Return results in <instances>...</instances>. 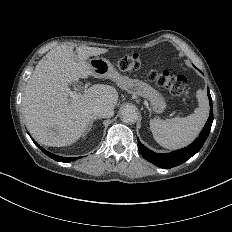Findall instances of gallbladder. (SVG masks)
Instances as JSON below:
<instances>
[{
  "mask_svg": "<svg viewBox=\"0 0 232 232\" xmlns=\"http://www.w3.org/2000/svg\"><path fill=\"white\" fill-rule=\"evenodd\" d=\"M71 88H72V89H80V90H83V89H84V85L81 84L80 81H75V82H72V83H71Z\"/></svg>",
  "mask_w": 232,
  "mask_h": 232,
  "instance_id": "obj_1",
  "label": "gallbladder"
}]
</instances>
